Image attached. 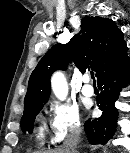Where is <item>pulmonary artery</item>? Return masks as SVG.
<instances>
[{"mask_svg": "<svg viewBox=\"0 0 130 153\" xmlns=\"http://www.w3.org/2000/svg\"><path fill=\"white\" fill-rule=\"evenodd\" d=\"M85 85L82 87V94L86 97H91L94 95V89L89 85V78H84Z\"/></svg>", "mask_w": 130, "mask_h": 153, "instance_id": "pulmonary-artery-1", "label": "pulmonary artery"}]
</instances>
